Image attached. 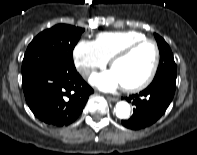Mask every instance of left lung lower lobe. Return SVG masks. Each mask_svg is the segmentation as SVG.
Here are the masks:
<instances>
[{
	"instance_id": "left-lung-lower-lobe-1",
	"label": "left lung lower lobe",
	"mask_w": 197,
	"mask_h": 155,
	"mask_svg": "<svg viewBox=\"0 0 197 155\" xmlns=\"http://www.w3.org/2000/svg\"><path fill=\"white\" fill-rule=\"evenodd\" d=\"M176 88V82L170 80H153L139 94L126 98L135 106L134 114L122 124L129 129H141L156 122L171 103Z\"/></svg>"
}]
</instances>
